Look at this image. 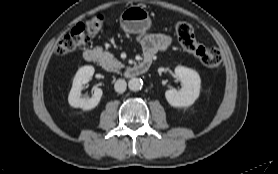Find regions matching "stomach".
I'll return each mask as SVG.
<instances>
[{
	"instance_id": "1",
	"label": "stomach",
	"mask_w": 278,
	"mask_h": 174,
	"mask_svg": "<svg viewBox=\"0 0 278 174\" xmlns=\"http://www.w3.org/2000/svg\"><path fill=\"white\" fill-rule=\"evenodd\" d=\"M120 25L125 32L142 33L150 29L151 19L146 9L132 5L121 13Z\"/></svg>"
}]
</instances>
